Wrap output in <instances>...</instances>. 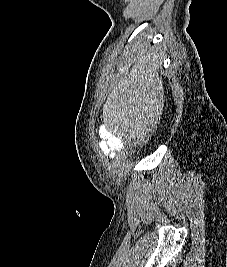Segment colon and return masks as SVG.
Segmentation results:
<instances>
[{"label":"colon","mask_w":227,"mask_h":267,"mask_svg":"<svg viewBox=\"0 0 227 267\" xmlns=\"http://www.w3.org/2000/svg\"><path fill=\"white\" fill-rule=\"evenodd\" d=\"M156 118H161L162 114L159 113V115H155ZM156 127H159V124H156ZM151 135H154V132H151ZM148 139H151V136H148ZM148 139L141 138L140 140H137L136 142V149H132V156H141L143 152H145V147H147Z\"/></svg>","instance_id":"1"}]
</instances>
